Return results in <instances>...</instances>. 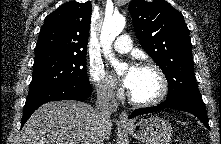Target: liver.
<instances>
[{
	"label": "liver",
	"instance_id": "6515ba94",
	"mask_svg": "<svg viewBox=\"0 0 221 144\" xmlns=\"http://www.w3.org/2000/svg\"><path fill=\"white\" fill-rule=\"evenodd\" d=\"M108 121L101 129L96 109L72 100L49 102L39 107L22 128L20 144H95L98 131L104 139L111 134Z\"/></svg>",
	"mask_w": 221,
	"mask_h": 144
}]
</instances>
